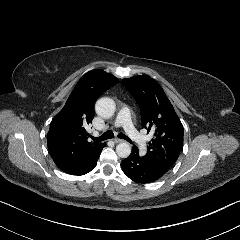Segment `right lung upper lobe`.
<instances>
[{"mask_svg": "<svg viewBox=\"0 0 240 240\" xmlns=\"http://www.w3.org/2000/svg\"><path fill=\"white\" fill-rule=\"evenodd\" d=\"M118 79L99 69L81 77L63 109L53 118L48 132V149L55 164L76 174L96 160L106 143H93L86 127L94 117L96 99Z\"/></svg>", "mask_w": 240, "mask_h": 240, "instance_id": "right-lung-upper-lobe-1", "label": "right lung upper lobe"}]
</instances>
